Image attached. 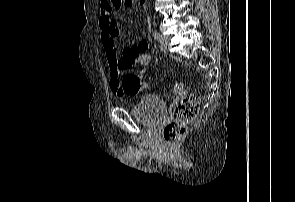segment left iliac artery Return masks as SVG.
<instances>
[{
    "mask_svg": "<svg viewBox=\"0 0 295 202\" xmlns=\"http://www.w3.org/2000/svg\"><path fill=\"white\" fill-rule=\"evenodd\" d=\"M153 37L157 41L161 39V35L156 30L153 31Z\"/></svg>",
    "mask_w": 295,
    "mask_h": 202,
    "instance_id": "44dca946",
    "label": "left iliac artery"
}]
</instances>
